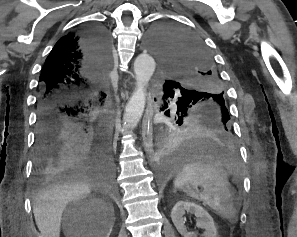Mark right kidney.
Listing matches in <instances>:
<instances>
[{
  "label": "right kidney",
  "mask_w": 297,
  "mask_h": 237,
  "mask_svg": "<svg viewBox=\"0 0 297 237\" xmlns=\"http://www.w3.org/2000/svg\"><path fill=\"white\" fill-rule=\"evenodd\" d=\"M110 233H111V229H110L109 232L105 235V237H109ZM90 236H91V237H100L101 235H100V233L95 232V233L91 234Z\"/></svg>",
  "instance_id": "right-kidney-1"
}]
</instances>
